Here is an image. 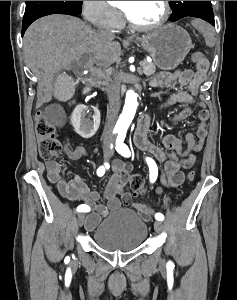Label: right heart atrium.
<instances>
[{
  "mask_svg": "<svg viewBox=\"0 0 237 300\" xmlns=\"http://www.w3.org/2000/svg\"><path fill=\"white\" fill-rule=\"evenodd\" d=\"M82 14L89 24L97 28L116 30L122 23L119 11L107 1H82Z\"/></svg>",
  "mask_w": 237,
  "mask_h": 300,
  "instance_id": "obj_1",
  "label": "right heart atrium"
}]
</instances>
